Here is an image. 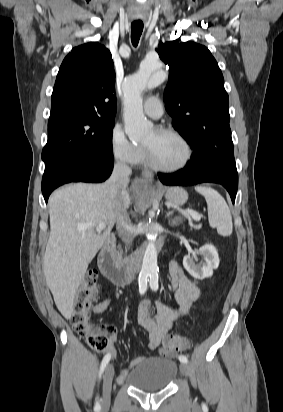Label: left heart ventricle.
I'll list each match as a JSON object with an SVG mask.
<instances>
[{
    "instance_id": "1",
    "label": "left heart ventricle",
    "mask_w": 283,
    "mask_h": 412,
    "mask_svg": "<svg viewBox=\"0 0 283 412\" xmlns=\"http://www.w3.org/2000/svg\"><path fill=\"white\" fill-rule=\"evenodd\" d=\"M143 144L149 148L153 160L160 166L174 167L185 158L184 145L173 135L159 134L154 130Z\"/></svg>"
}]
</instances>
